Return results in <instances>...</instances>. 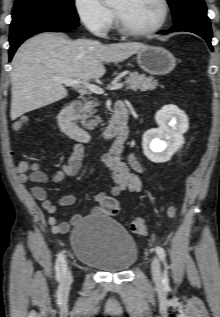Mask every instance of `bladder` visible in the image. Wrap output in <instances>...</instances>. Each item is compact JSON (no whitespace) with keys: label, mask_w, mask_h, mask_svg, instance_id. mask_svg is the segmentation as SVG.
Returning a JSON list of instances; mask_svg holds the SVG:
<instances>
[{"label":"bladder","mask_w":220,"mask_h":317,"mask_svg":"<svg viewBox=\"0 0 220 317\" xmlns=\"http://www.w3.org/2000/svg\"><path fill=\"white\" fill-rule=\"evenodd\" d=\"M75 258L106 272H123L138 259V245L124 226L104 215L80 220L70 234Z\"/></svg>","instance_id":"obj_1"}]
</instances>
